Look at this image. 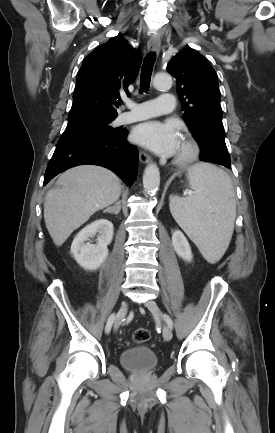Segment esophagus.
Segmentation results:
<instances>
[{
	"mask_svg": "<svg viewBox=\"0 0 275 433\" xmlns=\"http://www.w3.org/2000/svg\"><path fill=\"white\" fill-rule=\"evenodd\" d=\"M160 46V36L158 34L152 35L147 44L148 51L158 54L160 51ZM139 159L144 164L151 162V157L144 151H139Z\"/></svg>",
	"mask_w": 275,
	"mask_h": 433,
	"instance_id": "esophagus-1",
	"label": "esophagus"
}]
</instances>
